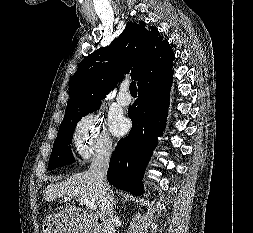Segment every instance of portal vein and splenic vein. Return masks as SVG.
I'll list each match as a JSON object with an SVG mask.
<instances>
[{
  "label": "portal vein and splenic vein",
  "mask_w": 253,
  "mask_h": 233,
  "mask_svg": "<svg viewBox=\"0 0 253 233\" xmlns=\"http://www.w3.org/2000/svg\"><path fill=\"white\" fill-rule=\"evenodd\" d=\"M65 201L70 200V197H64ZM78 200L81 202V204H84L86 207H88L90 210H96L97 205L91 201H89L86 198L79 197Z\"/></svg>",
  "instance_id": "18ae733b"
}]
</instances>
